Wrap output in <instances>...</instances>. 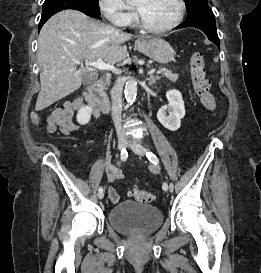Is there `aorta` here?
I'll use <instances>...</instances> for the list:
<instances>
[{"instance_id":"762f6f07","label":"aorta","mask_w":261,"mask_h":273,"mask_svg":"<svg viewBox=\"0 0 261 273\" xmlns=\"http://www.w3.org/2000/svg\"><path fill=\"white\" fill-rule=\"evenodd\" d=\"M134 0H126L127 3H131ZM125 98L128 103H133L137 95V82L134 79H130L125 85Z\"/></svg>"}]
</instances>
